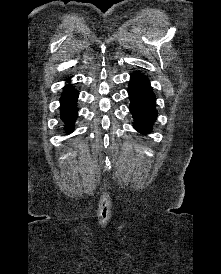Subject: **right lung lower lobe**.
Listing matches in <instances>:
<instances>
[{
	"instance_id": "1",
	"label": "right lung lower lobe",
	"mask_w": 221,
	"mask_h": 274,
	"mask_svg": "<svg viewBox=\"0 0 221 274\" xmlns=\"http://www.w3.org/2000/svg\"><path fill=\"white\" fill-rule=\"evenodd\" d=\"M78 91H76L71 85L67 84L63 90V94L60 98L61 102V119L65 124L66 133L73 131L74 122L77 118L78 109L76 102L78 99Z\"/></svg>"
}]
</instances>
